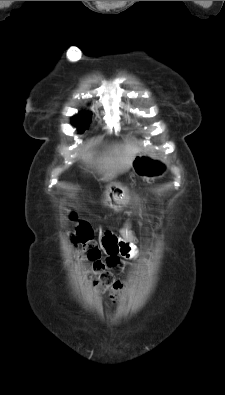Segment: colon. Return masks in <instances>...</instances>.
Masks as SVG:
<instances>
[{
	"instance_id": "5ec220e1",
	"label": "colon",
	"mask_w": 225,
	"mask_h": 395,
	"mask_svg": "<svg viewBox=\"0 0 225 395\" xmlns=\"http://www.w3.org/2000/svg\"><path fill=\"white\" fill-rule=\"evenodd\" d=\"M73 219L74 215L71 216ZM72 241L78 249L79 258L89 263L88 275L102 292H109L114 301L120 299L124 284L108 271L109 260L101 259V250L93 239V230L86 222H79Z\"/></svg>"
}]
</instances>
